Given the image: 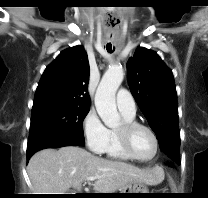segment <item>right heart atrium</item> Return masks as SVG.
I'll use <instances>...</instances> for the list:
<instances>
[{
  "mask_svg": "<svg viewBox=\"0 0 208 198\" xmlns=\"http://www.w3.org/2000/svg\"><path fill=\"white\" fill-rule=\"evenodd\" d=\"M83 134L86 145L95 154H102L105 151L109 130L104 126L94 110L88 111L82 122Z\"/></svg>",
  "mask_w": 208,
  "mask_h": 198,
  "instance_id": "obj_1",
  "label": "right heart atrium"
}]
</instances>
